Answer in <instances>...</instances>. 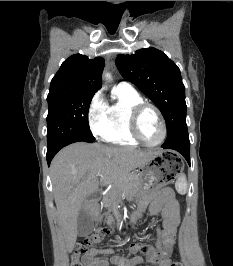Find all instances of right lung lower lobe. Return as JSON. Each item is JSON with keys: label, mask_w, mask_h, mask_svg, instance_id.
Returning <instances> with one entry per match:
<instances>
[{"label": "right lung lower lobe", "mask_w": 233, "mask_h": 266, "mask_svg": "<svg viewBox=\"0 0 233 266\" xmlns=\"http://www.w3.org/2000/svg\"><path fill=\"white\" fill-rule=\"evenodd\" d=\"M80 141H85V142H93V141H91V140H80ZM77 142V141H76ZM64 146H66V145H64ZM64 146H61V147H58V148H56V149H54V150H51V151H47V163H48V165H50V162H51V160L53 159V157L55 156V154L61 149V148H63Z\"/></svg>", "instance_id": "1"}]
</instances>
